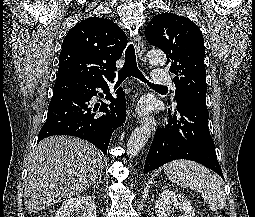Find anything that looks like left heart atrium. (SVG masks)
Segmentation results:
<instances>
[{"label":"left heart atrium","instance_id":"obj_1","mask_svg":"<svg viewBox=\"0 0 255 217\" xmlns=\"http://www.w3.org/2000/svg\"><path fill=\"white\" fill-rule=\"evenodd\" d=\"M139 112H142V113H145L149 110V106L146 102H142L140 105H139Z\"/></svg>","mask_w":255,"mask_h":217}]
</instances>
